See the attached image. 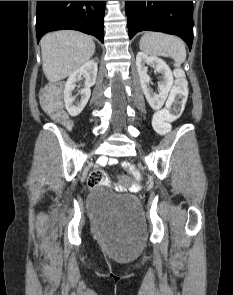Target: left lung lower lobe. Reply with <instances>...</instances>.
Returning a JSON list of instances; mask_svg holds the SVG:
<instances>
[{
  "instance_id": "0a47b994",
  "label": "left lung lower lobe",
  "mask_w": 233,
  "mask_h": 295,
  "mask_svg": "<svg viewBox=\"0 0 233 295\" xmlns=\"http://www.w3.org/2000/svg\"><path fill=\"white\" fill-rule=\"evenodd\" d=\"M131 39L140 31H158L181 37L191 50L193 42L192 1H126Z\"/></svg>"
}]
</instances>
